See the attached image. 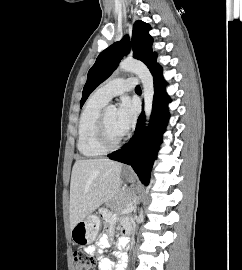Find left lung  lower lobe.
<instances>
[{
	"mask_svg": "<svg viewBox=\"0 0 242 270\" xmlns=\"http://www.w3.org/2000/svg\"><path fill=\"white\" fill-rule=\"evenodd\" d=\"M154 77L153 108L148 129L144 125V112L139 116L134 136L125 147L117 150L108 157L131 165L140 180L147 185L150 171L161 143V136L169 117L167 103L170 101L166 94V82L162 77V68L157 65L151 70Z\"/></svg>",
	"mask_w": 242,
	"mask_h": 270,
	"instance_id": "0a47b994",
	"label": "left lung lower lobe"
}]
</instances>
